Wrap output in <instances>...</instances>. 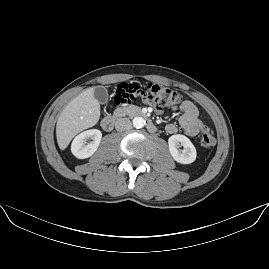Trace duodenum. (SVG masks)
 Returning a JSON list of instances; mask_svg holds the SVG:
<instances>
[{
  "label": "duodenum",
  "mask_w": 269,
  "mask_h": 269,
  "mask_svg": "<svg viewBox=\"0 0 269 269\" xmlns=\"http://www.w3.org/2000/svg\"><path fill=\"white\" fill-rule=\"evenodd\" d=\"M127 112L131 115L139 116V117H147V114L138 109V108H130L127 110ZM117 116L115 115H107L105 116L101 121V127L105 131H111L114 128V125L116 123ZM146 127L149 132H155L157 130V126L155 123H153L151 120L146 119Z\"/></svg>",
  "instance_id": "1"
}]
</instances>
